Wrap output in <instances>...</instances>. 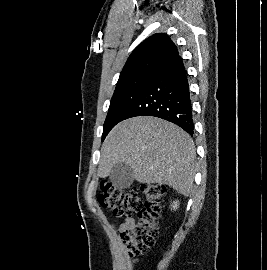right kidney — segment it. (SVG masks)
Masks as SVG:
<instances>
[{
	"label": "right kidney",
	"mask_w": 267,
	"mask_h": 270,
	"mask_svg": "<svg viewBox=\"0 0 267 270\" xmlns=\"http://www.w3.org/2000/svg\"><path fill=\"white\" fill-rule=\"evenodd\" d=\"M173 203H174V205H172L173 209H177V201Z\"/></svg>",
	"instance_id": "1"
}]
</instances>
